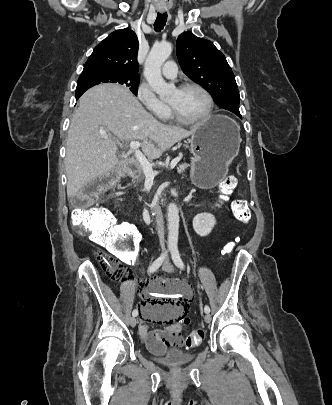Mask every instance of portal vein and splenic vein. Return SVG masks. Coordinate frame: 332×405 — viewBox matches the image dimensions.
Returning a JSON list of instances; mask_svg holds the SVG:
<instances>
[{
    "mask_svg": "<svg viewBox=\"0 0 332 405\" xmlns=\"http://www.w3.org/2000/svg\"><path fill=\"white\" fill-rule=\"evenodd\" d=\"M108 138V136H106ZM141 146L140 141H132L129 144L130 150L134 153L135 157L137 158L138 162L140 163L143 173L147 179L153 180L154 177L159 173L158 171H154L152 168V164L145 158L142 152L139 150ZM180 161V158H175L172 160L170 167L173 168L175 165Z\"/></svg>",
    "mask_w": 332,
    "mask_h": 405,
    "instance_id": "1",
    "label": "portal vein and splenic vein"
}]
</instances>
